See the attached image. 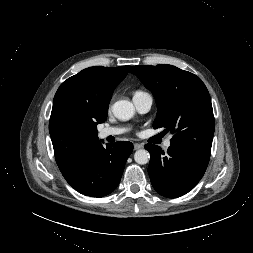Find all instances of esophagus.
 <instances>
[{
	"label": "esophagus",
	"mask_w": 253,
	"mask_h": 253,
	"mask_svg": "<svg viewBox=\"0 0 253 253\" xmlns=\"http://www.w3.org/2000/svg\"><path fill=\"white\" fill-rule=\"evenodd\" d=\"M143 147H144V145L141 144V143H135V144H134V150H138V149H141V148H143Z\"/></svg>",
	"instance_id": "esophagus-1"
}]
</instances>
